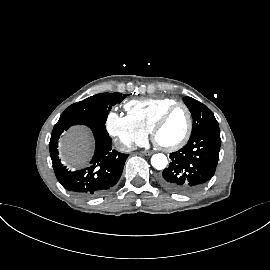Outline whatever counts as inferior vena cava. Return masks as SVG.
I'll return each instance as SVG.
<instances>
[{
    "instance_id": "602c4592",
    "label": "inferior vena cava",
    "mask_w": 270,
    "mask_h": 270,
    "mask_svg": "<svg viewBox=\"0 0 270 270\" xmlns=\"http://www.w3.org/2000/svg\"><path fill=\"white\" fill-rule=\"evenodd\" d=\"M115 147L118 151L122 153H129L135 149V147L132 144H124L120 141L115 142Z\"/></svg>"
}]
</instances>
